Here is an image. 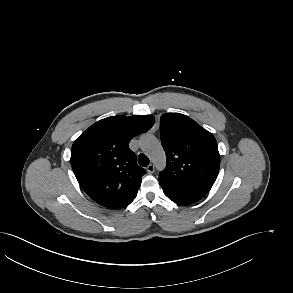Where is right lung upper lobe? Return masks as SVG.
Here are the masks:
<instances>
[{
    "mask_svg": "<svg viewBox=\"0 0 293 293\" xmlns=\"http://www.w3.org/2000/svg\"><path fill=\"white\" fill-rule=\"evenodd\" d=\"M153 124L152 115L108 117L75 140L71 166L82 189L96 203L119 209L135 199L146 171L137 165L129 142Z\"/></svg>",
    "mask_w": 293,
    "mask_h": 293,
    "instance_id": "obj_1",
    "label": "right lung upper lobe"
}]
</instances>
